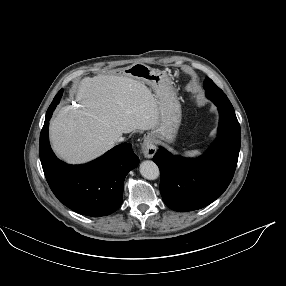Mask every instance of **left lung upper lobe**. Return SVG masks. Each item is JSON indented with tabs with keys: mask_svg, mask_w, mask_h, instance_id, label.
Here are the masks:
<instances>
[{
	"mask_svg": "<svg viewBox=\"0 0 286 286\" xmlns=\"http://www.w3.org/2000/svg\"><path fill=\"white\" fill-rule=\"evenodd\" d=\"M204 89L206 91V96L213 102L228 100L224 92L208 77L204 82Z\"/></svg>",
	"mask_w": 286,
	"mask_h": 286,
	"instance_id": "obj_1",
	"label": "left lung upper lobe"
}]
</instances>
